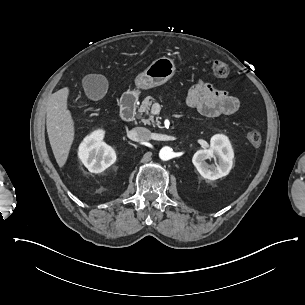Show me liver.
Instances as JSON below:
<instances>
[{"label": "liver", "mask_w": 305, "mask_h": 305, "mask_svg": "<svg viewBox=\"0 0 305 305\" xmlns=\"http://www.w3.org/2000/svg\"><path fill=\"white\" fill-rule=\"evenodd\" d=\"M71 89L65 86L47 102V131L54 157L63 169L67 164L76 135V122L69 110Z\"/></svg>", "instance_id": "liver-1"}]
</instances>
